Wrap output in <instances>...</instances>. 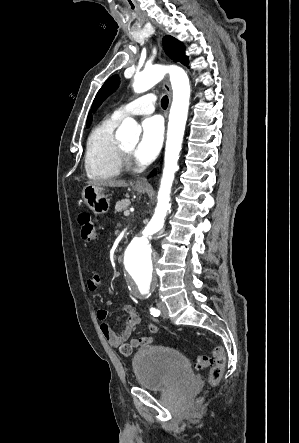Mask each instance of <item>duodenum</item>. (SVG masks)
Masks as SVG:
<instances>
[{
	"label": "duodenum",
	"mask_w": 299,
	"mask_h": 443,
	"mask_svg": "<svg viewBox=\"0 0 299 443\" xmlns=\"http://www.w3.org/2000/svg\"><path fill=\"white\" fill-rule=\"evenodd\" d=\"M117 261H118V262H121V256H118V257H117Z\"/></svg>",
	"instance_id": "obj_1"
}]
</instances>
